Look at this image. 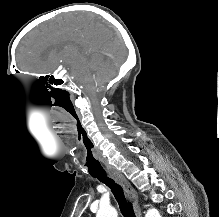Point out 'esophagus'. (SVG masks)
Segmentation results:
<instances>
[{
    "label": "esophagus",
    "instance_id": "obj_1",
    "mask_svg": "<svg viewBox=\"0 0 219 217\" xmlns=\"http://www.w3.org/2000/svg\"><path fill=\"white\" fill-rule=\"evenodd\" d=\"M107 174L109 177L113 178L116 182L122 185L130 202L133 204L136 217H142L138 194L136 190L133 188V186L131 185V183L127 180V178L115 168H108Z\"/></svg>",
    "mask_w": 219,
    "mask_h": 217
}]
</instances>
